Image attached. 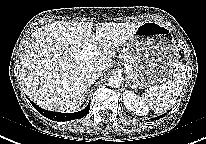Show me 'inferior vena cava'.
Masks as SVG:
<instances>
[{"mask_svg": "<svg viewBox=\"0 0 206 144\" xmlns=\"http://www.w3.org/2000/svg\"><path fill=\"white\" fill-rule=\"evenodd\" d=\"M101 75H102L101 69L96 68V67H92L88 71L86 78H87L88 83H93L96 80H98L101 77Z\"/></svg>", "mask_w": 206, "mask_h": 144, "instance_id": "1", "label": "inferior vena cava"}]
</instances>
